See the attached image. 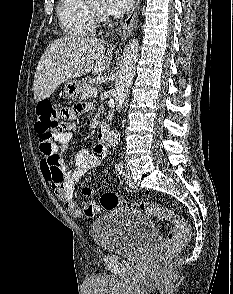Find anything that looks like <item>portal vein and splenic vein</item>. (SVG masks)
Listing matches in <instances>:
<instances>
[{"label": "portal vein and splenic vein", "instance_id": "portal-vein-and-splenic-vein-1", "mask_svg": "<svg viewBox=\"0 0 233 294\" xmlns=\"http://www.w3.org/2000/svg\"><path fill=\"white\" fill-rule=\"evenodd\" d=\"M89 93L93 96L97 95V90L95 88L90 89Z\"/></svg>", "mask_w": 233, "mask_h": 294}]
</instances>
